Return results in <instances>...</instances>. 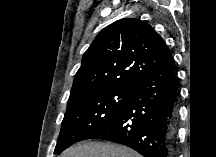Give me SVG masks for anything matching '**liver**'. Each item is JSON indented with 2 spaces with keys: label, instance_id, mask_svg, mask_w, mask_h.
<instances>
[{
  "label": "liver",
  "instance_id": "liver-1",
  "mask_svg": "<svg viewBox=\"0 0 216 157\" xmlns=\"http://www.w3.org/2000/svg\"><path fill=\"white\" fill-rule=\"evenodd\" d=\"M61 157H140V154L123 145L88 142L67 149Z\"/></svg>",
  "mask_w": 216,
  "mask_h": 157
}]
</instances>
